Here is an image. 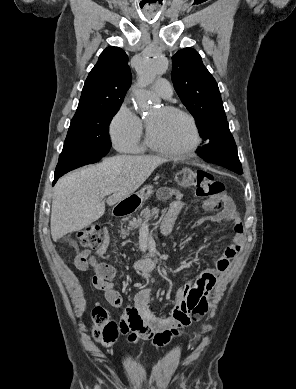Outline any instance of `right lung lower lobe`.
Wrapping results in <instances>:
<instances>
[{"label":"right lung lower lobe","mask_w":296,"mask_h":389,"mask_svg":"<svg viewBox=\"0 0 296 389\" xmlns=\"http://www.w3.org/2000/svg\"><path fill=\"white\" fill-rule=\"evenodd\" d=\"M69 171H71V170H69V169L55 170V177H54L53 185L56 183V181L58 180L59 177H61L62 175H64L65 173H67Z\"/></svg>","instance_id":"1"}]
</instances>
